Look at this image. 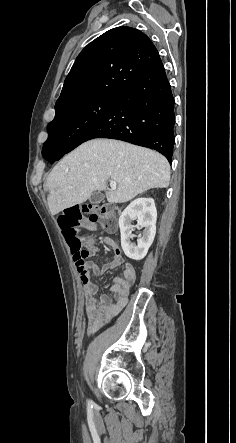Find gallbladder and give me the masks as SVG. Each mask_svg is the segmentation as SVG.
Instances as JSON below:
<instances>
[{
	"instance_id": "1",
	"label": "gallbladder",
	"mask_w": 236,
	"mask_h": 443,
	"mask_svg": "<svg viewBox=\"0 0 236 443\" xmlns=\"http://www.w3.org/2000/svg\"><path fill=\"white\" fill-rule=\"evenodd\" d=\"M103 200H104V195L99 191L93 192L89 198V201L92 204H98V203L102 202Z\"/></svg>"
}]
</instances>
